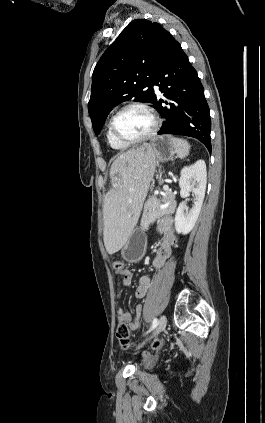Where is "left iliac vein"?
Returning a JSON list of instances; mask_svg holds the SVG:
<instances>
[{"label":"left iliac vein","mask_w":265,"mask_h":423,"mask_svg":"<svg viewBox=\"0 0 265 423\" xmlns=\"http://www.w3.org/2000/svg\"><path fill=\"white\" fill-rule=\"evenodd\" d=\"M167 324V318L165 315H162L158 321V325L157 328L155 330V332L152 334L151 338L158 335L161 331H163L166 327ZM147 340L143 341L142 343H140L137 348H141L146 344Z\"/></svg>","instance_id":"left-iliac-vein-1"}]
</instances>
